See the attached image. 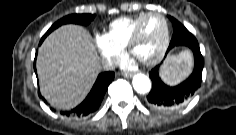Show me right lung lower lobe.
<instances>
[{
  "instance_id": "1",
  "label": "right lung lower lobe",
  "mask_w": 236,
  "mask_h": 135,
  "mask_svg": "<svg viewBox=\"0 0 236 135\" xmlns=\"http://www.w3.org/2000/svg\"><path fill=\"white\" fill-rule=\"evenodd\" d=\"M45 37L46 36L42 37L40 44L43 42ZM34 70L36 71L35 61ZM114 75V72L110 71L99 74L95 84L93 85V88L91 89L86 99L76 108L61 113L67 116L80 118L95 112L99 108L109 84L114 79Z\"/></svg>"
}]
</instances>
